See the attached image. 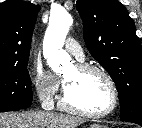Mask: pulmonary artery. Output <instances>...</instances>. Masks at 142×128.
Returning a JSON list of instances; mask_svg holds the SVG:
<instances>
[{
	"label": "pulmonary artery",
	"instance_id": "pulmonary-artery-1",
	"mask_svg": "<svg viewBox=\"0 0 142 128\" xmlns=\"http://www.w3.org/2000/svg\"><path fill=\"white\" fill-rule=\"evenodd\" d=\"M65 49L77 59L83 60L84 53L80 44L73 38H68L65 42Z\"/></svg>",
	"mask_w": 142,
	"mask_h": 128
}]
</instances>
